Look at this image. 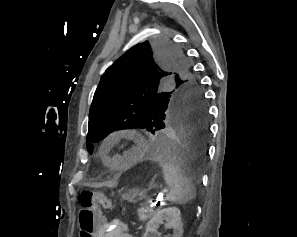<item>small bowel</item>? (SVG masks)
Masks as SVG:
<instances>
[{"label":"small bowel","mask_w":297,"mask_h":237,"mask_svg":"<svg viewBox=\"0 0 297 237\" xmlns=\"http://www.w3.org/2000/svg\"><path fill=\"white\" fill-rule=\"evenodd\" d=\"M96 237H134L128 232L127 225L120 220L102 223Z\"/></svg>","instance_id":"c3829d8e"}]
</instances>
